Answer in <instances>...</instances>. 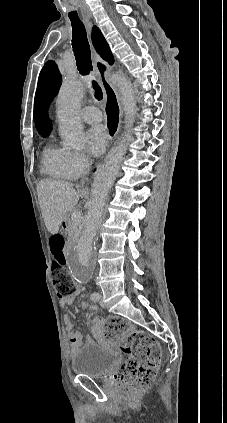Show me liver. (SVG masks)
Instances as JSON below:
<instances>
[{"instance_id": "obj_1", "label": "liver", "mask_w": 227, "mask_h": 423, "mask_svg": "<svg viewBox=\"0 0 227 423\" xmlns=\"http://www.w3.org/2000/svg\"><path fill=\"white\" fill-rule=\"evenodd\" d=\"M38 200L45 225L50 233H58L59 227L79 202L86 196L84 190H74L68 182L42 180L37 186Z\"/></svg>"}]
</instances>
